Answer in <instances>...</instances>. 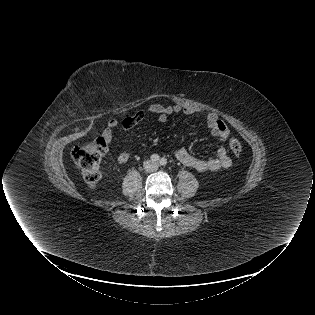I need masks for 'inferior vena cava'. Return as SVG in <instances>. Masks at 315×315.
Wrapping results in <instances>:
<instances>
[{
  "label": "inferior vena cava",
  "mask_w": 315,
  "mask_h": 315,
  "mask_svg": "<svg viewBox=\"0 0 315 315\" xmlns=\"http://www.w3.org/2000/svg\"><path fill=\"white\" fill-rule=\"evenodd\" d=\"M153 167H154V163H153V162H148V163L146 164V166H145V168H146L147 170L152 169Z\"/></svg>",
  "instance_id": "obj_1"
}]
</instances>
